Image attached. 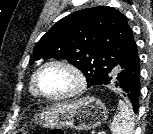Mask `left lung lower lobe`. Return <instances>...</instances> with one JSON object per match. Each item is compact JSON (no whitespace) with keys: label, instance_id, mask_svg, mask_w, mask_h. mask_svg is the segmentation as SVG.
<instances>
[{"label":"left lung lower lobe","instance_id":"obj_1","mask_svg":"<svg viewBox=\"0 0 153 134\" xmlns=\"http://www.w3.org/2000/svg\"><path fill=\"white\" fill-rule=\"evenodd\" d=\"M138 52L127 57L116 69L105 75L98 85H113L127 98L137 114L140 94V65Z\"/></svg>","mask_w":153,"mask_h":134}]
</instances>
